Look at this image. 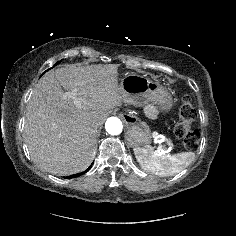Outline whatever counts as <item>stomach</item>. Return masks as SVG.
Here are the masks:
<instances>
[{
    "mask_svg": "<svg viewBox=\"0 0 236 236\" xmlns=\"http://www.w3.org/2000/svg\"><path fill=\"white\" fill-rule=\"evenodd\" d=\"M120 87L128 95L130 104L145 106L148 103L157 105L161 112H168L172 107V97L160 84L147 77L127 73L120 82ZM128 141L134 148L147 147L151 142V132L145 122L136 116H126Z\"/></svg>",
    "mask_w": 236,
    "mask_h": 236,
    "instance_id": "1",
    "label": "stomach"
}]
</instances>
